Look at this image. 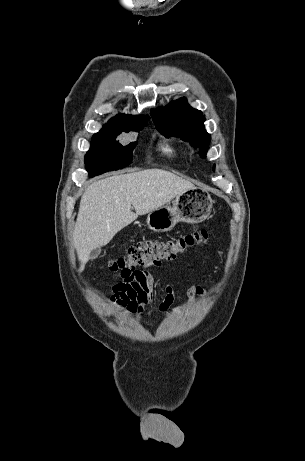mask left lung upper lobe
Returning <instances> with one entry per match:
<instances>
[{
  "mask_svg": "<svg viewBox=\"0 0 305 461\" xmlns=\"http://www.w3.org/2000/svg\"><path fill=\"white\" fill-rule=\"evenodd\" d=\"M151 117L166 137L180 136L192 146L199 147L201 157H206L211 138L204 129L205 119L202 112L190 107L185 98L171 102L163 109H152Z\"/></svg>",
  "mask_w": 305,
  "mask_h": 461,
  "instance_id": "obj_1",
  "label": "left lung upper lobe"
}]
</instances>
